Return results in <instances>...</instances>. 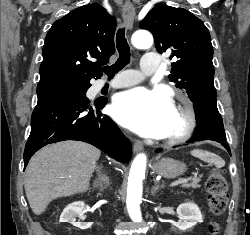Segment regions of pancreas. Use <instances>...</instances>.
I'll list each match as a JSON object with an SVG mask.
<instances>
[{
  "instance_id": "obj_1",
  "label": "pancreas",
  "mask_w": 250,
  "mask_h": 235,
  "mask_svg": "<svg viewBox=\"0 0 250 235\" xmlns=\"http://www.w3.org/2000/svg\"><path fill=\"white\" fill-rule=\"evenodd\" d=\"M199 181H200V178L195 177L193 182L188 183V184H184L183 187L184 188H193V189L199 188L200 187V185L198 184Z\"/></svg>"
}]
</instances>
